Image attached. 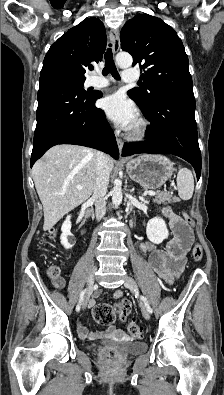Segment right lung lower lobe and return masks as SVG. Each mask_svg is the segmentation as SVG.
Returning <instances> with one entry per match:
<instances>
[{"label":"right lung lower lobe","mask_w":224,"mask_h":395,"mask_svg":"<svg viewBox=\"0 0 224 395\" xmlns=\"http://www.w3.org/2000/svg\"><path fill=\"white\" fill-rule=\"evenodd\" d=\"M101 96L100 92L81 95L63 82L40 77L31 167L57 144L92 147L119 158L114 133L104 112L95 106Z\"/></svg>","instance_id":"98d812e1"}]
</instances>
